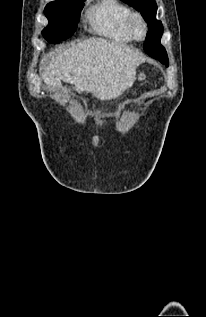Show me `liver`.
I'll list each match as a JSON object with an SVG mask.
<instances>
[{
  "label": "liver",
  "instance_id": "obj_1",
  "mask_svg": "<svg viewBox=\"0 0 206 317\" xmlns=\"http://www.w3.org/2000/svg\"><path fill=\"white\" fill-rule=\"evenodd\" d=\"M144 60L126 45L90 38L60 50L45 66L43 80L49 87H61L62 80L79 92L110 100L133 85L136 68Z\"/></svg>",
  "mask_w": 206,
  "mask_h": 317
}]
</instances>
